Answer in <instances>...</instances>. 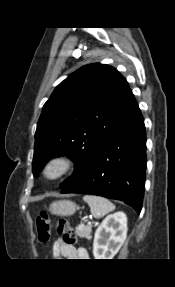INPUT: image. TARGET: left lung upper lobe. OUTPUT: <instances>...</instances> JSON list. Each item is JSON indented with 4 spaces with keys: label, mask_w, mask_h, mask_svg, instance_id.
Masks as SVG:
<instances>
[{
    "label": "left lung upper lobe",
    "mask_w": 175,
    "mask_h": 287,
    "mask_svg": "<svg viewBox=\"0 0 175 287\" xmlns=\"http://www.w3.org/2000/svg\"><path fill=\"white\" fill-rule=\"evenodd\" d=\"M137 105L128 82L115 68L95 63L76 70L43 106L35 133L34 176L51 157L66 155L75 170L60 187L74 183L86 173L100 144Z\"/></svg>",
    "instance_id": "obj_1"
}]
</instances>
